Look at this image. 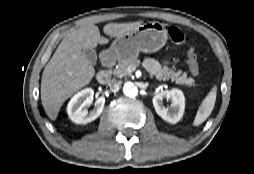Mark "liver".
<instances>
[{"label":"liver","mask_w":254,"mask_h":174,"mask_svg":"<svg viewBox=\"0 0 254 174\" xmlns=\"http://www.w3.org/2000/svg\"><path fill=\"white\" fill-rule=\"evenodd\" d=\"M142 21L108 23L103 32L110 37H121L135 31ZM99 28L86 24L69 32L61 41L52 58L45 66L41 81V102L47 116L55 120L63 103L75 92L90 83L95 75L92 63L83 53L84 49L107 44Z\"/></svg>","instance_id":"6515ba94"}]
</instances>
